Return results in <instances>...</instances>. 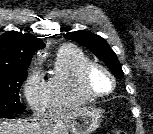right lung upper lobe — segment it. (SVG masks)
<instances>
[{"mask_svg":"<svg viewBox=\"0 0 153 134\" xmlns=\"http://www.w3.org/2000/svg\"><path fill=\"white\" fill-rule=\"evenodd\" d=\"M44 47L31 34L9 31L0 35V72L27 71L35 51Z\"/></svg>","mask_w":153,"mask_h":134,"instance_id":"1","label":"right lung upper lobe"}]
</instances>
